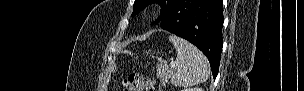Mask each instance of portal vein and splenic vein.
<instances>
[{
  "label": "portal vein and splenic vein",
  "instance_id": "18ae733b",
  "mask_svg": "<svg viewBox=\"0 0 304 91\" xmlns=\"http://www.w3.org/2000/svg\"><path fill=\"white\" fill-rule=\"evenodd\" d=\"M169 66H170V69H172V70L176 68V64L175 63H170Z\"/></svg>",
  "mask_w": 304,
  "mask_h": 91
}]
</instances>
